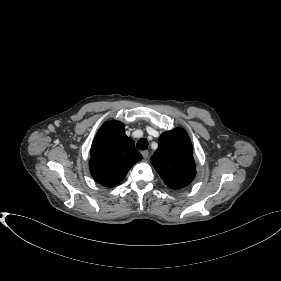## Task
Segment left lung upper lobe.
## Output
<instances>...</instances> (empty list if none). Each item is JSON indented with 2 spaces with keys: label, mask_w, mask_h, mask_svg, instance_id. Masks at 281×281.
<instances>
[{
  "label": "left lung upper lobe",
  "mask_w": 281,
  "mask_h": 281,
  "mask_svg": "<svg viewBox=\"0 0 281 281\" xmlns=\"http://www.w3.org/2000/svg\"><path fill=\"white\" fill-rule=\"evenodd\" d=\"M150 162L164 183L171 189L189 185L196 174L191 141L185 130L164 132Z\"/></svg>",
  "instance_id": "left-lung-upper-lobe-1"
}]
</instances>
